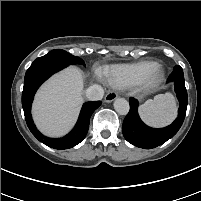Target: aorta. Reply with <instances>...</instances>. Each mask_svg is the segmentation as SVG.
Segmentation results:
<instances>
[{
	"mask_svg": "<svg viewBox=\"0 0 201 201\" xmlns=\"http://www.w3.org/2000/svg\"><path fill=\"white\" fill-rule=\"evenodd\" d=\"M113 105L115 111L120 115H126L129 112V102L124 98H117Z\"/></svg>",
	"mask_w": 201,
	"mask_h": 201,
	"instance_id": "762f6f07",
	"label": "aorta"
}]
</instances>
